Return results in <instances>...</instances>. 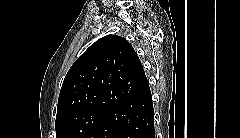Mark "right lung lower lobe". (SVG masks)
Instances as JSON below:
<instances>
[{"mask_svg":"<svg viewBox=\"0 0 240 138\" xmlns=\"http://www.w3.org/2000/svg\"><path fill=\"white\" fill-rule=\"evenodd\" d=\"M86 138H155L150 87L107 111Z\"/></svg>","mask_w":240,"mask_h":138,"instance_id":"right-lung-lower-lobe-1","label":"right lung lower lobe"}]
</instances>
